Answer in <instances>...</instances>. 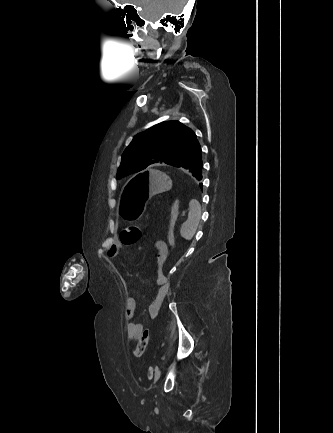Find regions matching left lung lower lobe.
I'll list each match as a JSON object with an SVG mask.
<instances>
[{
  "mask_svg": "<svg viewBox=\"0 0 333 433\" xmlns=\"http://www.w3.org/2000/svg\"><path fill=\"white\" fill-rule=\"evenodd\" d=\"M202 153L201 151L188 162H186L182 168H184L187 172L191 173L197 180L202 179Z\"/></svg>",
  "mask_w": 333,
  "mask_h": 433,
  "instance_id": "obj_1",
  "label": "left lung lower lobe"
}]
</instances>
